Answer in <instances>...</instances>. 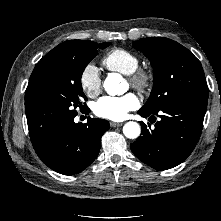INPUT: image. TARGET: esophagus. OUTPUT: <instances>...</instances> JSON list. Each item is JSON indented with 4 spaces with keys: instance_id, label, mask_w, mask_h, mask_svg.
Instances as JSON below:
<instances>
[{
    "instance_id": "obj_1",
    "label": "esophagus",
    "mask_w": 221,
    "mask_h": 221,
    "mask_svg": "<svg viewBox=\"0 0 221 221\" xmlns=\"http://www.w3.org/2000/svg\"><path fill=\"white\" fill-rule=\"evenodd\" d=\"M122 125H123V123L110 122V126H111V127H120V126H122Z\"/></svg>"
}]
</instances>
